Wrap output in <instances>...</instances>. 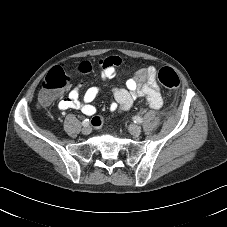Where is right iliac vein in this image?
Masks as SVG:
<instances>
[{
  "instance_id": "63e3f726",
  "label": "right iliac vein",
  "mask_w": 227,
  "mask_h": 227,
  "mask_svg": "<svg viewBox=\"0 0 227 227\" xmlns=\"http://www.w3.org/2000/svg\"><path fill=\"white\" fill-rule=\"evenodd\" d=\"M82 133L84 135H88L91 133V127L90 126H84L83 129H82Z\"/></svg>"
}]
</instances>
